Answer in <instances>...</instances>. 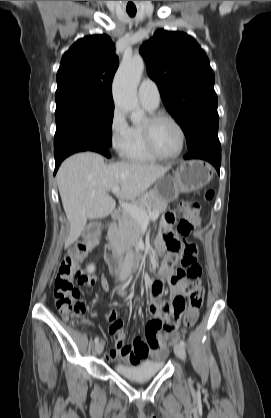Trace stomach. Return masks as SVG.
<instances>
[{"label": "stomach", "mask_w": 271, "mask_h": 418, "mask_svg": "<svg viewBox=\"0 0 271 418\" xmlns=\"http://www.w3.org/2000/svg\"><path fill=\"white\" fill-rule=\"evenodd\" d=\"M213 177L212 166L202 160L182 162L175 171L174 177L164 175L153 188L166 202L174 201L179 193H189L205 187Z\"/></svg>", "instance_id": "obj_1"}]
</instances>
